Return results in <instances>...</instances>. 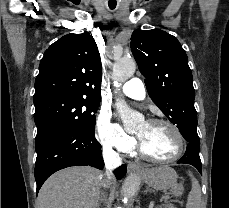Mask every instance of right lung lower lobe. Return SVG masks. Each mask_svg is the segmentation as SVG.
<instances>
[{"mask_svg":"<svg viewBox=\"0 0 229 208\" xmlns=\"http://www.w3.org/2000/svg\"><path fill=\"white\" fill-rule=\"evenodd\" d=\"M35 143L36 193L44 181L60 169L82 165L99 169L104 167L101 145L95 139L94 133L64 127L47 134ZM114 173L117 179H121L126 174V166H120Z\"/></svg>","mask_w":229,"mask_h":208,"instance_id":"98d812e1","label":"right lung lower lobe"}]
</instances>
